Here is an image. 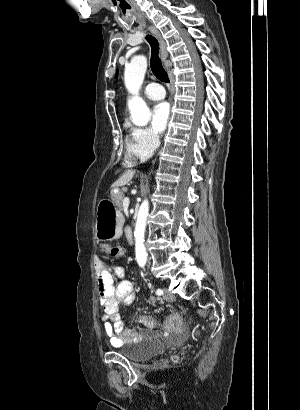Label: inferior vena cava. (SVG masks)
<instances>
[{
    "label": "inferior vena cava",
    "instance_id": "inferior-vena-cava-1",
    "mask_svg": "<svg viewBox=\"0 0 300 410\" xmlns=\"http://www.w3.org/2000/svg\"><path fill=\"white\" fill-rule=\"evenodd\" d=\"M159 144V140H158V138L156 139V145H158Z\"/></svg>",
    "mask_w": 300,
    "mask_h": 410
}]
</instances>
